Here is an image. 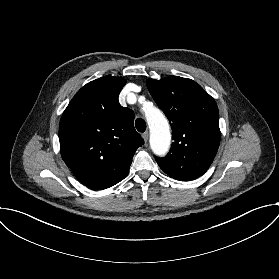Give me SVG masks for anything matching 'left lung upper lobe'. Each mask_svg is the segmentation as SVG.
Here are the masks:
<instances>
[{"instance_id":"left-lung-upper-lobe-1","label":"left lung upper lobe","mask_w":279,"mask_h":279,"mask_svg":"<svg viewBox=\"0 0 279 279\" xmlns=\"http://www.w3.org/2000/svg\"><path fill=\"white\" fill-rule=\"evenodd\" d=\"M147 87L171 122L174 140L167 156L156 157L158 165L178 180L201 176L213 162L220 143L215 100L195 81L178 76L148 79Z\"/></svg>"}]
</instances>
